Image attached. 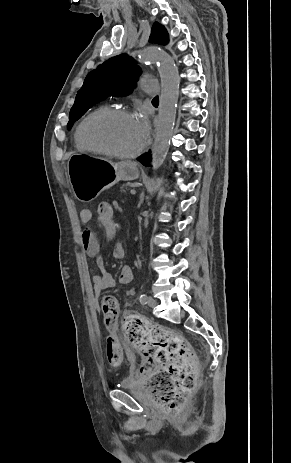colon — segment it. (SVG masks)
Here are the masks:
<instances>
[{"label": "colon", "instance_id": "obj_1", "mask_svg": "<svg viewBox=\"0 0 291 463\" xmlns=\"http://www.w3.org/2000/svg\"><path fill=\"white\" fill-rule=\"evenodd\" d=\"M116 210L112 203L97 201V218L100 226H113ZM102 315L109 330L115 331L120 316L116 300L104 297L101 301ZM127 339L143 354L145 362L141 374L147 379L149 393L163 410L176 417L181 405L195 386L196 367L189 344L176 330L165 328L142 318L127 315L123 320ZM106 354L111 366L123 361V351L118 338L107 339Z\"/></svg>", "mask_w": 291, "mask_h": 463}]
</instances>
